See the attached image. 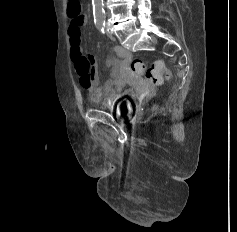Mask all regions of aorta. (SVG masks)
<instances>
[{
    "label": "aorta",
    "instance_id": "aorta-1",
    "mask_svg": "<svg viewBox=\"0 0 237 232\" xmlns=\"http://www.w3.org/2000/svg\"><path fill=\"white\" fill-rule=\"evenodd\" d=\"M103 0H92L93 15L95 23L105 22V11L103 8Z\"/></svg>",
    "mask_w": 237,
    "mask_h": 232
}]
</instances>
